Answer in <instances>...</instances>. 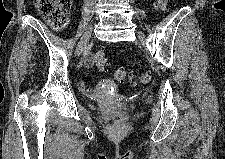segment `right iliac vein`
Wrapping results in <instances>:
<instances>
[{
	"label": "right iliac vein",
	"mask_w": 225,
	"mask_h": 159,
	"mask_svg": "<svg viewBox=\"0 0 225 159\" xmlns=\"http://www.w3.org/2000/svg\"><path fill=\"white\" fill-rule=\"evenodd\" d=\"M91 33H92V28H89L83 35V37L81 38V41L79 42L78 45V51L77 53L80 54L86 47V45L88 44L90 38H91Z\"/></svg>",
	"instance_id": "63e3f726"
}]
</instances>
